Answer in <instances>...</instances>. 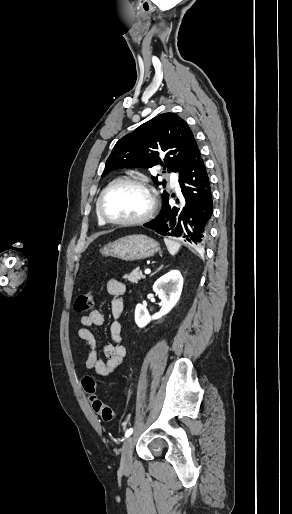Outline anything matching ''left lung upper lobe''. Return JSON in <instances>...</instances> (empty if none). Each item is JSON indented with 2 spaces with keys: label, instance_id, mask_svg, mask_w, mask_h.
I'll return each instance as SVG.
<instances>
[{
  "label": "left lung upper lobe",
  "instance_id": "5c2ea615",
  "mask_svg": "<svg viewBox=\"0 0 292 514\" xmlns=\"http://www.w3.org/2000/svg\"><path fill=\"white\" fill-rule=\"evenodd\" d=\"M194 140L188 124L178 115H158L116 143L106 161L102 177L119 168L148 169L159 164L168 172L180 174ZM152 179L156 185H161L157 177L152 176Z\"/></svg>",
  "mask_w": 292,
  "mask_h": 514
}]
</instances>
